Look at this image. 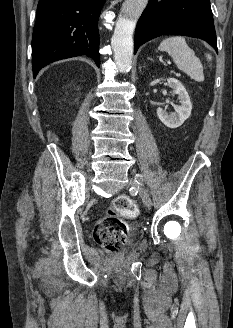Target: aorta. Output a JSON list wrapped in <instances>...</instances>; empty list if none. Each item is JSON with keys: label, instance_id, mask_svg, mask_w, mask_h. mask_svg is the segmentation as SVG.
<instances>
[{"label": "aorta", "instance_id": "762f6f07", "mask_svg": "<svg viewBox=\"0 0 233 328\" xmlns=\"http://www.w3.org/2000/svg\"><path fill=\"white\" fill-rule=\"evenodd\" d=\"M148 0H125L111 45L114 52V61L120 72H129L133 57V31L136 20L144 11Z\"/></svg>", "mask_w": 233, "mask_h": 328}]
</instances>
